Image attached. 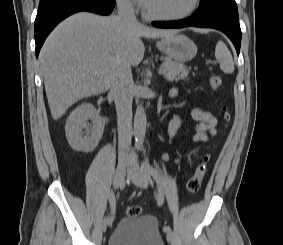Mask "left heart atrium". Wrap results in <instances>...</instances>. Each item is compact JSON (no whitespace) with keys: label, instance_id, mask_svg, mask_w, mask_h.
<instances>
[{"label":"left heart atrium","instance_id":"left-heart-atrium-1","mask_svg":"<svg viewBox=\"0 0 283 245\" xmlns=\"http://www.w3.org/2000/svg\"><path fill=\"white\" fill-rule=\"evenodd\" d=\"M139 4H141L142 6H145L148 2V0H137Z\"/></svg>","mask_w":283,"mask_h":245}]
</instances>
